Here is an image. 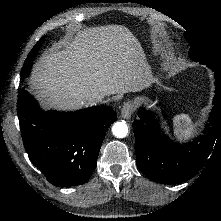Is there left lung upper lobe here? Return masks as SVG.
I'll return each instance as SVG.
<instances>
[{
    "instance_id": "left-lung-upper-lobe-1",
    "label": "left lung upper lobe",
    "mask_w": 221,
    "mask_h": 221,
    "mask_svg": "<svg viewBox=\"0 0 221 221\" xmlns=\"http://www.w3.org/2000/svg\"><path fill=\"white\" fill-rule=\"evenodd\" d=\"M185 38L188 40L191 46V49L189 51L190 58L194 61L200 62L201 64H206L207 66H209V61L201 46L196 44L187 33H185Z\"/></svg>"
}]
</instances>
